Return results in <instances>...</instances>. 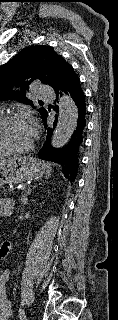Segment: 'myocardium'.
Listing matches in <instances>:
<instances>
[{
	"label": "myocardium",
	"instance_id": "obj_1",
	"mask_svg": "<svg viewBox=\"0 0 118 320\" xmlns=\"http://www.w3.org/2000/svg\"><path fill=\"white\" fill-rule=\"evenodd\" d=\"M14 122H25V119L17 114L6 115L0 117V148L7 154H25L33 150L34 140L25 148L14 149L9 147L6 142L2 139L3 129L10 123Z\"/></svg>",
	"mask_w": 118,
	"mask_h": 320
}]
</instances>
